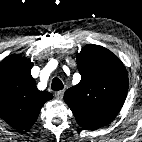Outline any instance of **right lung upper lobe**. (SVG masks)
Listing matches in <instances>:
<instances>
[{"mask_svg": "<svg viewBox=\"0 0 142 142\" xmlns=\"http://www.w3.org/2000/svg\"><path fill=\"white\" fill-rule=\"evenodd\" d=\"M32 67L30 60L16 54L0 64V116L17 130L30 128L44 103L53 98L51 93L36 88Z\"/></svg>", "mask_w": 142, "mask_h": 142, "instance_id": "cb5924a9", "label": "right lung upper lobe"}]
</instances>
